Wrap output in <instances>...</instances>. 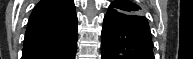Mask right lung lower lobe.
I'll return each mask as SVG.
<instances>
[{
  "label": "right lung lower lobe",
  "mask_w": 193,
  "mask_h": 59,
  "mask_svg": "<svg viewBox=\"0 0 193 59\" xmlns=\"http://www.w3.org/2000/svg\"><path fill=\"white\" fill-rule=\"evenodd\" d=\"M76 48L77 33L53 48L22 52V59H75Z\"/></svg>",
  "instance_id": "obj_1"
}]
</instances>
